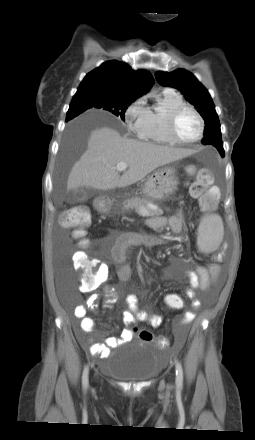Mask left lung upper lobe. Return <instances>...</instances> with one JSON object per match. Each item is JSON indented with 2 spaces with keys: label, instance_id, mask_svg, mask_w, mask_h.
Instances as JSON below:
<instances>
[{
  "label": "left lung upper lobe",
  "instance_id": "5c2ea615",
  "mask_svg": "<svg viewBox=\"0 0 255 440\" xmlns=\"http://www.w3.org/2000/svg\"><path fill=\"white\" fill-rule=\"evenodd\" d=\"M162 86L178 89L188 102L194 105L205 121L203 144L213 145L224 156L221 140L220 123L214 103L206 88L194 77L193 74L177 69L172 72L159 71L155 74Z\"/></svg>",
  "mask_w": 255,
  "mask_h": 440
}]
</instances>
